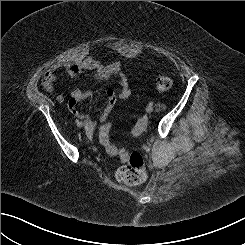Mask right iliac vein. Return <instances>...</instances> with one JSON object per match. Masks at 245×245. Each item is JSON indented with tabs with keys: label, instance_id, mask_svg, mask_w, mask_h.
Here are the masks:
<instances>
[{
	"label": "right iliac vein",
	"instance_id": "obj_1",
	"mask_svg": "<svg viewBox=\"0 0 245 245\" xmlns=\"http://www.w3.org/2000/svg\"><path fill=\"white\" fill-rule=\"evenodd\" d=\"M82 126H83V123L81 122L80 125H79V127H82Z\"/></svg>",
	"mask_w": 245,
	"mask_h": 245
}]
</instances>
